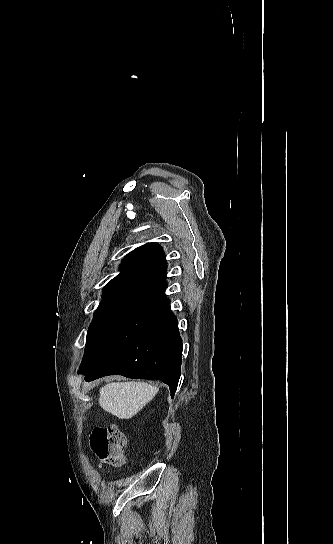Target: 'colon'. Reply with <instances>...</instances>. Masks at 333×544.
<instances>
[{"label":"colon","instance_id":"5ec220e1","mask_svg":"<svg viewBox=\"0 0 333 544\" xmlns=\"http://www.w3.org/2000/svg\"><path fill=\"white\" fill-rule=\"evenodd\" d=\"M125 444V435L116 426L96 428L90 435V446L97 458L115 467L125 463Z\"/></svg>","mask_w":333,"mask_h":544}]
</instances>
